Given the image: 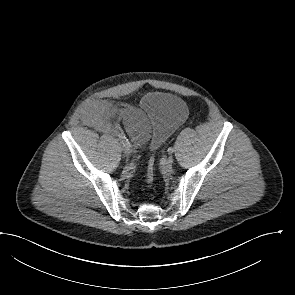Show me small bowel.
<instances>
[{"mask_svg":"<svg viewBox=\"0 0 295 295\" xmlns=\"http://www.w3.org/2000/svg\"><path fill=\"white\" fill-rule=\"evenodd\" d=\"M116 117L122 119L126 132L136 145H141L148 139L150 124L140 109L117 108L106 102H98L84 113V120L103 132L112 130V120Z\"/></svg>","mask_w":295,"mask_h":295,"instance_id":"c3829d8e","label":"small bowel"}]
</instances>
